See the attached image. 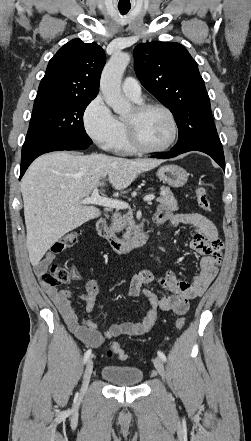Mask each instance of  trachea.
<instances>
[{
	"mask_svg": "<svg viewBox=\"0 0 251 441\" xmlns=\"http://www.w3.org/2000/svg\"><path fill=\"white\" fill-rule=\"evenodd\" d=\"M121 14H126L130 10V8H118Z\"/></svg>",
	"mask_w": 251,
	"mask_h": 441,
	"instance_id": "1",
	"label": "trachea"
}]
</instances>
